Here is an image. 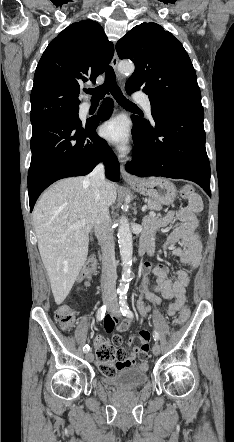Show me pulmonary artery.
<instances>
[{
  "instance_id": "e3ab8cb5",
  "label": "pulmonary artery",
  "mask_w": 234,
  "mask_h": 442,
  "mask_svg": "<svg viewBox=\"0 0 234 442\" xmlns=\"http://www.w3.org/2000/svg\"><path fill=\"white\" fill-rule=\"evenodd\" d=\"M135 100H136L137 102H139V103L142 105L143 109H144L148 114H151V102H150V100L148 99L147 96L139 95V96H136V97H135ZM89 108H90V105H89V104H85V105H84V110H88Z\"/></svg>"
}]
</instances>
